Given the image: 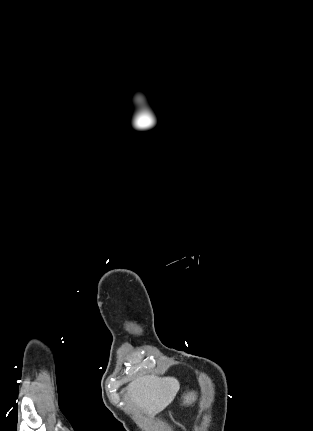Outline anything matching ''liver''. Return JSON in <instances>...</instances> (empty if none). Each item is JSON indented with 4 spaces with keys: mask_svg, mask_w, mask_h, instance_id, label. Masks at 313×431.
<instances>
[{
    "mask_svg": "<svg viewBox=\"0 0 313 431\" xmlns=\"http://www.w3.org/2000/svg\"><path fill=\"white\" fill-rule=\"evenodd\" d=\"M179 387L175 378L147 375L133 380L127 390L130 400L151 416L165 409L174 400Z\"/></svg>",
    "mask_w": 313,
    "mask_h": 431,
    "instance_id": "obj_1",
    "label": "liver"
}]
</instances>
